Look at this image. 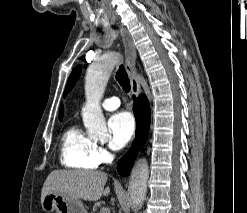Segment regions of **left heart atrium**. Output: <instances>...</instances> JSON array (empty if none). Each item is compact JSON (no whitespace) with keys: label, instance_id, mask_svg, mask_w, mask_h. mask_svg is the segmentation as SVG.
<instances>
[{"label":"left heart atrium","instance_id":"left-heart-atrium-1","mask_svg":"<svg viewBox=\"0 0 247 213\" xmlns=\"http://www.w3.org/2000/svg\"><path fill=\"white\" fill-rule=\"evenodd\" d=\"M108 127L111 134L109 145L112 149L119 150L132 138L135 121L130 113L122 111L110 117Z\"/></svg>","mask_w":247,"mask_h":213}]
</instances>
